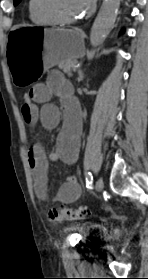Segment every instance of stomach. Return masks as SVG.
Segmentation results:
<instances>
[{"label":"stomach","mask_w":148,"mask_h":279,"mask_svg":"<svg viewBox=\"0 0 148 279\" xmlns=\"http://www.w3.org/2000/svg\"><path fill=\"white\" fill-rule=\"evenodd\" d=\"M6 69L8 78H14V86L36 87L51 66L65 60L84 56L83 34L78 30L46 29V25H21L7 34ZM42 49V50H34Z\"/></svg>","instance_id":"1"}]
</instances>
